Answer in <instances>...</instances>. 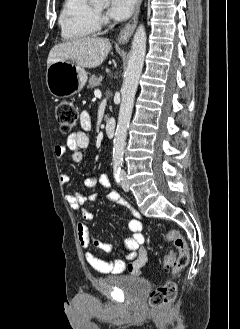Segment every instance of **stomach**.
<instances>
[{
    "label": "stomach",
    "mask_w": 240,
    "mask_h": 329,
    "mask_svg": "<svg viewBox=\"0 0 240 329\" xmlns=\"http://www.w3.org/2000/svg\"><path fill=\"white\" fill-rule=\"evenodd\" d=\"M87 78V72L70 61L54 62L46 73L47 87L58 98L70 97L81 91Z\"/></svg>",
    "instance_id": "1"
}]
</instances>
